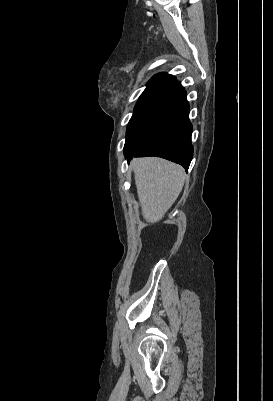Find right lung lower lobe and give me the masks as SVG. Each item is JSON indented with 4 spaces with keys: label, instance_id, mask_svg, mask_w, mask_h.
<instances>
[{
    "label": "right lung lower lobe",
    "instance_id": "98d812e1",
    "mask_svg": "<svg viewBox=\"0 0 273 401\" xmlns=\"http://www.w3.org/2000/svg\"><path fill=\"white\" fill-rule=\"evenodd\" d=\"M192 125L186 92L172 97L146 120L125 143L124 155L156 156L182 165L186 171L193 156Z\"/></svg>",
    "mask_w": 273,
    "mask_h": 401
}]
</instances>
